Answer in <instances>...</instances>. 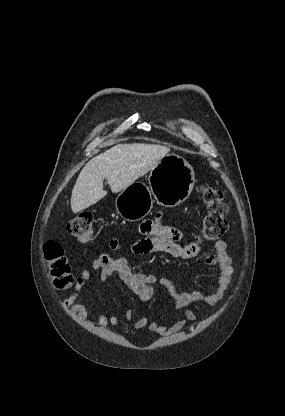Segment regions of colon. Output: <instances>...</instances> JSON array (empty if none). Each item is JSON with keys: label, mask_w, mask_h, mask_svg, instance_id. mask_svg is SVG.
<instances>
[{"label": "colon", "mask_w": 285, "mask_h": 416, "mask_svg": "<svg viewBox=\"0 0 285 416\" xmlns=\"http://www.w3.org/2000/svg\"><path fill=\"white\" fill-rule=\"evenodd\" d=\"M199 192L206 207L201 239L217 241L227 230L226 214L228 208L223 194L210 186H202ZM93 222V216L90 213H82L70 220L66 229L68 234L77 241L89 243L94 237ZM44 255L50 264V273L55 287L59 289L69 287L73 282V277L71 267L61 245L55 241L46 242Z\"/></svg>", "instance_id": "obj_1"}]
</instances>
